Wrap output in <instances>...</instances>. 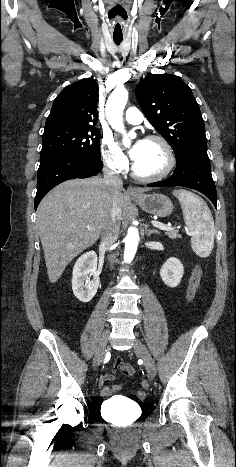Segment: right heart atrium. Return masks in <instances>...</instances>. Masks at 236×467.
<instances>
[{
	"mask_svg": "<svg viewBox=\"0 0 236 467\" xmlns=\"http://www.w3.org/2000/svg\"><path fill=\"white\" fill-rule=\"evenodd\" d=\"M104 164L114 172H122L128 167V159L118 147L113 137L103 135L100 144Z\"/></svg>",
	"mask_w": 236,
	"mask_h": 467,
	"instance_id": "obj_1",
	"label": "right heart atrium"
}]
</instances>
